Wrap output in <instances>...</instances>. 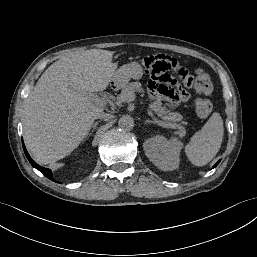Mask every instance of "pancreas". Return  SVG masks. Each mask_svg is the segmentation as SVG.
I'll return each instance as SVG.
<instances>
[{"instance_id":"cf45deb5","label":"pancreas","mask_w":257,"mask_h":257,"mask_svg":"<svg viewBox=\"0 0 257 257\" xmlns=\"http://www.w3.org/2000/svg\"><path fill=\"white\" fill-rule=\"evenodd\" d=\"M141 83L140 82H131L128 85H126L118 99L117 102L120 104L121 103V98L126 97L130 94H134V92H141ZM153 111L161 118L163 119V122L166 124H169L171 122H178L182 120V115L178 112H172L171 110L166 109L165 106H162V103L159 102H154L152 105Z\"/></svg>"}]
</instances>
